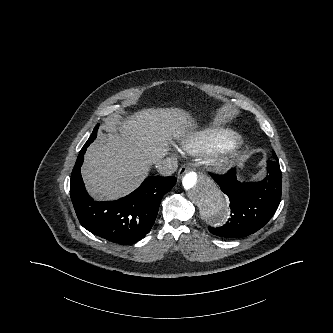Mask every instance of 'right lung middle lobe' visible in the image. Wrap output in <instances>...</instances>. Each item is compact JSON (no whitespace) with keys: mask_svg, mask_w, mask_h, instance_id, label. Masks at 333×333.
<instances>
[{"mask_svg":"<svg viewBox=\"0 0 333 333\" xmlns=\"http://www.w3.org/2000/svg\"><path fill=\"white\" fill-rule=\"evenodd\" d=\"M97 128H98V126L93 130V133H94V132L97 133Z\"/></svg>","mask_w":333,"mask_h":333,"instance_id":"dd1d6c3e","label":"right lung middle lobe"}]
</instances>
